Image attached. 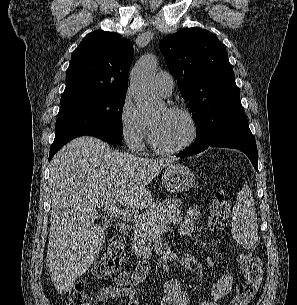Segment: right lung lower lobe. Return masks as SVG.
Listing matches in <instances>:
<instances>
[{
  "mask_svg": "<svg viewBox=\"0 0 297 305\" xmlns=\"http://www.w3.org/2000/svg\"><path fill=\"white\" fill-rule=\"evenodd\" d=\"M90 136L97 137L99 139H102L103 141L111 144H116L119 143L122 140V136H117V135H111V134H90ZM62 147V146H61ZM61 147H56L52 148L49 153V161L52 159L54 154L61 148Z\"/></svg>",
  "mask_w": 297,
  "mask_h": 305,
  "instance_id": "98d812e1",
  "label": "right lung lower lobe"
}]
</instances>
